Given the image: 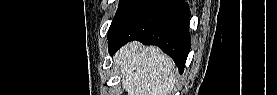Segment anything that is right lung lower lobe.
I'll return each instance as SVG.
<instances>
[{"instance_id":"obj_1","label":"right lung lower lobe","mask_w":277,"mask_h":95,"mask_svg":"<svg viewBox=\"0 0 277 95\" xmlns=\"http://www.w3.org/2000/svg\"><path fill=\"white\" fill-rule=\"evenodd\" d=\"M190 10L183 0H146L109 37L113 55L129 41L156 45L167 53L182 73L191 48Z\"/></svg>"}]
</instances>
